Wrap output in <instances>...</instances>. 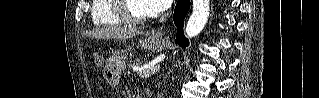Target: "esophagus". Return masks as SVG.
Instances as JSON below:
<instances>
[{"label": "esophagus", "instance_id": "obj_1", "mask_svg": "<svg viewBox=\"0 0 319 98\" xmlns=\"http://www.w3.org/2000/svg\"><path fill=\"white\" fill-rule=\"evenodd\" d=\"M155 35H156V36H159V37H165V38L167 37V36H166V33H165V32H162V31H157V32L155 33Z\"/></svg>", "mask_w": 319, "mask_h": 98}]
</instances>
